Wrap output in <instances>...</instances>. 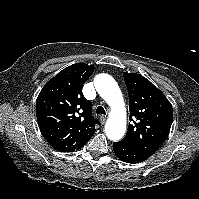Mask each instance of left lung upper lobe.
Returning <instances> with one entry per match:
<instances>
[{
    "label": "left lung upper lobe",
    "mask_w": 199,
    "mask_h": 199,
    "mask_svg": "<svg viewBox=\"0 0 199 199\" xmlns=\"http://www.w3.org/2000/svg\"><path fill=\"white\" fill-rule=\"evenodd\" d=\"M129 94L130 122L122 142L153 155L166 140L173 109L165 95L145 77L124 72Z\"/></svg>",
    "instance_id": "left-lung-upper-lobe-1"
}]
</instances>
